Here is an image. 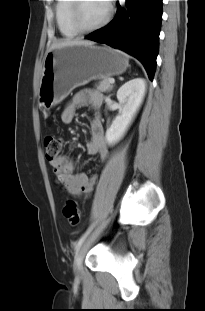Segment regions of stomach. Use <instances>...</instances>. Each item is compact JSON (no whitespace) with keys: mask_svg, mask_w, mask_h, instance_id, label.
I'll return each mask as SVG.
<instances>
[{"mask_svg":"<svg viewBox=\"0 0 205 311\" xmlns=\"http://www.w3.org/2000/svg\"><path fill=\"white\" fill-rule=\"evenodd\" d=\"M129 66L123 52L94 45H68L50 50L44 59L38 101L52 108L76 87L93 79L124 73Z\"/></svg>","mask_w":205,"mask_h":311,"instance_id":"0dacf381","label":"stomach"}]
</instances>
